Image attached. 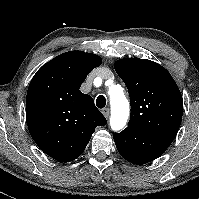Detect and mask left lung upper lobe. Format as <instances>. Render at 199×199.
Returning <instances> with one entry per match:
<instances>
[{"label":"left lung upper lobe","instance_id":"obj_1","mask_svg":"<svg viewBox=\"0 0 199 199\" xmlns=\"http://www.w3.org/2000/svg\"><path fill=\"white\" fill-rule=\"evenodd\" d=\"M127 86L131 116L128 127L172 142L183 115V99L170 73L147 59L124 58L114 64Z\"/></svg>","mask_w":199,"mask_h":199}]
</instances>
